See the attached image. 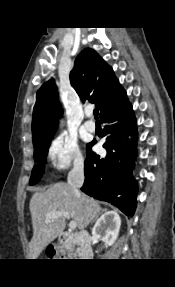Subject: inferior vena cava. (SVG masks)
I'll return each mask as SVG.
<instances>
[{
  "label": "inferior vena cava",
  "mask_w": 175,
  "mask_h": 287,
  "mask_svg": "<svg viewBox=\"0 0 175 287\" xmlns=\"http://www.w3.org/2000/svg\"><path fill=\"white\" fill-rule=\"evenodd\" d=\"M84 165L78 162L74 165L71 172L68 174V184L73 188L76 195L80 196L79 188L84 183Z\"/></svg>",
  "instance_id": "602c4592"
}]
</instances>
